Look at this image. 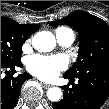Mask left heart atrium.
<instances>
[{"mask_svg": "<svg viewBox=\"0 0 109 109\" xmlns=\"http://www.w3.org/2000/svg\"><path fill=\"white\" fill-rule=\"evenodd\" d=\"M26 65L33 75L51 81L68 67V60L63 55H33L27 58Z\"/></svg>", "mask_w": 109, "mask_h": 109, "instance_id": "1", "label": "left heart atrium"}]
</instances>
